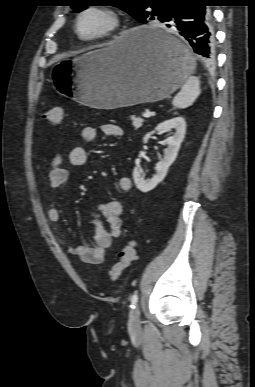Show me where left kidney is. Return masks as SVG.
I'll return each instance as SVG.
<instances>
[{
    "mask_svg": "<svg viewBox=\"0 0 255 387\" xmlns=\"http://www.w3.org/2000/svg\"><path fill=\"white\" fill-rule=\"evenodd\" d=\"M174 130L175 132L171 137L166 140L168 147L164 150V158L156 164L155 170L156 174L151 179H145L143 171L135 167L133 170V179L137 189L142 192H148L154 189L167 175V171L171 164L175 161L180 145L184 139L186 132V122L183 117H175L169 120H166L155 128L154 131L149 132L143 138V142L147 143L151 135L156 131L163 133L168 130Z\"/></svg>",
    "mask_w": 255,
    "mask_h": 387,
    "instance_id": "obj_1",
    "label": "left kidney"
}]
</instances>
